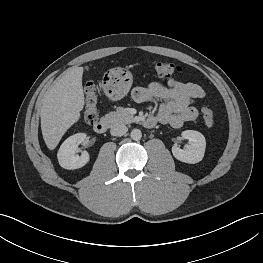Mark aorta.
Here are the masks:
<instances>
[{"mask_svg": "<svg viewBox=\"0 0 263 263\" xmlns=\"http://www.w3.org/2000/svg\"><path fill=\"white\" fill-rule=\"evenodd\" d=\"M131 138L135 141H138L142 137V133L139 129H133L130 134Z\"/></svg>", "mask_w": 263, "mask_h": 263, "instance_id": "obj_1", "label": "aorta"}]
</instances>
